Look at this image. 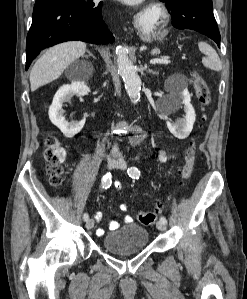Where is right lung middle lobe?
I'll return each instance as SVG.
<instances>
[{
	"label": "right lung middle lobe",
	"mask_w": 247,
	"mask_h": 299,
	"mask_svg": "<svg viewBox=\"0 0 247 299\" xmlns=\"http://www.w3.org/2000/svg\"><path fill=\"white\" fill-rule=\"evenodd\" d=\"M50 1H52V0H36L34 9L37 8V7H39V6H41V5H43V4H46V3L50 2Z\"/></svg>",
	"instance_id": "right-lung-middle-lobe-1"
}]
</instances>
